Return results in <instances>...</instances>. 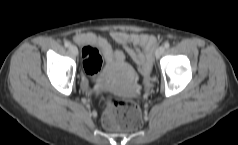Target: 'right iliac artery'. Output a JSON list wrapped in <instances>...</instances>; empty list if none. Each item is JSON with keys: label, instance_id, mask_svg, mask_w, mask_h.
<instances>
[{"label": "right iliac artery", "instance_id": "82829eb1", "mask_svg": "<svg viewBox=\"0 0 238 145\" xmlns=\"http://www.w3.org/2000/svg\"><path fill=\"white\" fill-rule=\"evenodd\" d=\"M64 46L68 48L70 46V42L65 41Z\"/></svg>", "mask_w": 238, "mask_h": 145}]
</instances>
